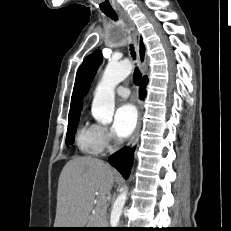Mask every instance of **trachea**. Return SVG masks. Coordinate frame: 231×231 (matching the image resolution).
Returning a JSON list of instances; mask_svg holds the SVG:
<instances>
[{"label": "trachea", "mask_w": 231, "mask_h": 231, "mask_svg": "<svg viewBox=\"0 0 231 231\" xmlns=\"http://www.w3.org/2000/svg\"><path fill=\"white\" fill-rule=\"evenodd\" d=\"M105 15L110 17L113 20L117 19V14L115 12H105ZM131 54L133 57H135V52L133 51V48H131ZM142 74L139 71L138 68L135 69L134 74H133V82L136 85H139L141 82Z\"/></svg>", "instance_id": "trachea-1"}]
</instances>
